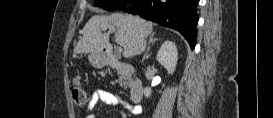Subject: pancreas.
<instances>
[{
  "label": "pancreas",
  "instance_id": "pancreas-1",
  "mask_svg": "<svg viewBox=\"0 0 273 118\" xmlns=\"http://www.w3.org/2000/svg\"><path fill=\"white\" fill-rule=\"evenodd\" d=\"M119 84L120 86L124 87L125 89L129 87L128 79L124 75L119 76Z\"/></svg>",
  "mask_w": 273,
  "mask_h": 118
}]
</instances>
